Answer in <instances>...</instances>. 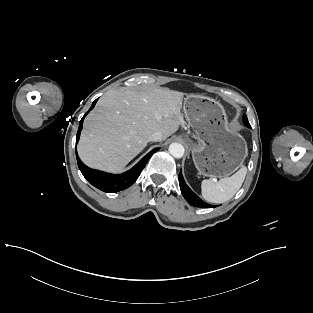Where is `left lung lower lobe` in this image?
I'll list each match as a JSON object with an SVG mask.
<instances>
[{
  "label": "left lung lower lobe",
  "instance_id": "obj_1",
  "mask_svg": "<svg viewBox=\"0 0 313 313\" xmlns=\"http://www.w3.org/2000/svg\"><path fill=\"white\" fill-rule=\"evenodd\" d=\"M179 185L182 195L187 200V202L194 206L200 208H214L215 206L205 203L200 197H198L185 183L182 172L179 174Z\"/></svg>",
  "mask_w": 313,
  "mask_h": 313
}]
</instances>
